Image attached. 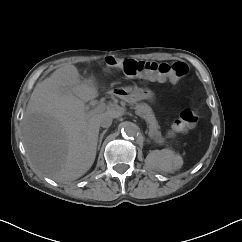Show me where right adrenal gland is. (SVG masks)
I'll list each match as a JSON object with an SVG mask.
<instances>
[{"mask_svg":"<svg viewBox=\"0 0 242 242\" xmlns=\"http://www.w3.org/2000/svg\"><path fill=\"white\" fill-rule=\"evenodd\" d=\"M106 132H107V129H105V130L100 134V137H99V140H98V149H100V146H101V143H102L103 137H104V135H105Z\"/></svg>","mask_w":242,"mask_h":242,"instance_id":"2a0ac1e0","label":"right adrenal gland"}]
</instances>
